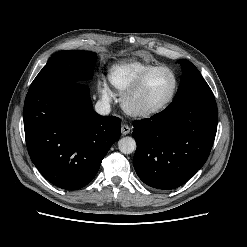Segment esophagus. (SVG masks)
<instances>
[{
    "mask_svg": "<svg viewBox=\"0 0 247 247\" xmlns=\"http://www.w3.org/2000/svg\"><path fill=\"white\" fill-rule=\"evenodd\" d=\"M130 131H131V128L128 125H126V124L122 125V127H121L122 135H127L130 133Z\"/></svg>",
    "mask_w": 247,
    "mask_h": 247,
    "instance_id": "1",
    "label": "esophagus"
}]
</instances>
